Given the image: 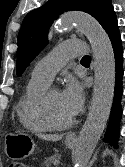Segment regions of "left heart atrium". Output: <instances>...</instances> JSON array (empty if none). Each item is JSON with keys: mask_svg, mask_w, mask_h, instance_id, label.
I'll return each mask as SVG.
<instances>
[{"mask_svg": "<svg viewBox=\"0 0 125 167\" xmlns=\"http://www.w3.org/2000/svg\"><path fill=\"white\" fill-rule=\"evenodd\" d=\"M62 103L71 116L76 115L84 102L83 86L74 78H68L60 92Z\"/></svg>", "mask_w": 125, "mask_h": 167, "instance_id": "39dd6f15", "label": "left heart atrium"}]
</instances>
